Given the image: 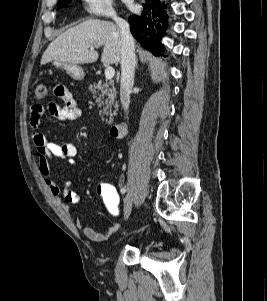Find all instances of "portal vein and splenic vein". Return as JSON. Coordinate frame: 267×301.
<instances>
[{
	"label": "portal vein and splenic vein",
	"instance_id": "portal-vein-and-splenic-vein-1",
	"mask_svg": "<svg viewBox=\"0 0 267 301\" xmlns=\"http://www.w3.org/2000/svg\"><path fill=\"white\" fill-rule=\"evenodd\" d=\"M91 50H94V48L92 47ZM115 75V70L113 67L111 66H108L106 69H105V77L107 80H111Z\"/></svg>",
	"mask_w": 267,
	"mask_h": 301
}]
</instances>
